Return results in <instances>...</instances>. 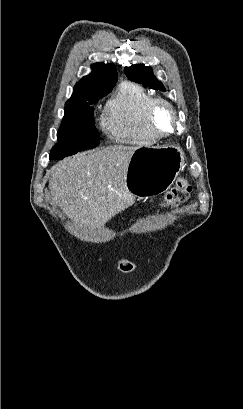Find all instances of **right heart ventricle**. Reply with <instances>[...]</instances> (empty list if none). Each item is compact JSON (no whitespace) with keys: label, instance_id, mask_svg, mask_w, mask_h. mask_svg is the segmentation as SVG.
I'll return each instance as SVG.
<instances>
[{"label":"right heart ventricle","instance_id":"1","mask_svg":"<svg viewBox=\"0 0 243 409\" xmlns=\"http://www.w3.org/2000/svg\"><path fill=\"white\" fill-rule=\"evenodd\" d=\"M153 96L141 85L125 81L107 103L103 126L121 143L151 145L157 138L149 131L146 110Z\"/></svg>","mask_w":243,"mask_h":409}]
</instances>
